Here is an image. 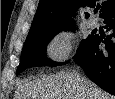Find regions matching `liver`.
<instances>
[{
    "instance_id": "liver-1",
    "label": "liver",
    "mask_w": 115,
    "mask_h": 99,
    "mask_svg": "<svg viewBox=\"0 0 115 99\" xmlns=\"http://www.w3.org/2000/svg\"><path fill=\"white\" fill-rule=\"evenodd\" d=\"M14 99H112V96L75 72H59L20 83Z\"/></svg>"
}]
</instances>
